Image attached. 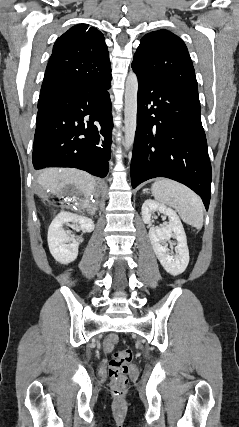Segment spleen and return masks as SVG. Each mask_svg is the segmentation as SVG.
<instances>
[{"label": "spleen", "instance_id": "spleen-1", "mask_svg": "<svg viewBox=\"0 0 239 427\" xmlns=\"http://www.w3.org/2000/svg\"><path fill=\"white\" fill-rule=\"evenodd\" d=\"M151 191L156 202L175 208L186 224L202 228L203 204L192 190L178 182L160 179L152 184Z\"/></svg>", "mask_w": 239, "mask_h": 427}]
</instances>
